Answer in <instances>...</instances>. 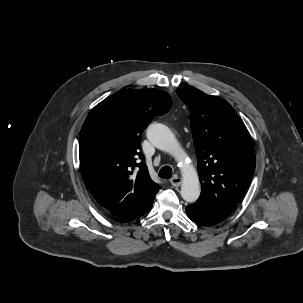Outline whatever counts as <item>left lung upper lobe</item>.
<instances>
[{
    "mask_svg": "<svg viewBox=\"0 0 303 303\" xmlns=\"http://www.w3.org/2000/svg\"><path fill=\"white\" fill-rule=\"evenodd\" d=\"M190 109L202 193L197 202L231 215L249 186L255 154L248 130L225 100L186 86L177 89Z\"/></svg>",
    "mask_w": 303,
    "mask_h": 303,
    "instance_id": "1",
    "label": "left lung upper lobe"
}]
</instances>
